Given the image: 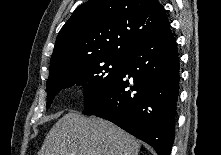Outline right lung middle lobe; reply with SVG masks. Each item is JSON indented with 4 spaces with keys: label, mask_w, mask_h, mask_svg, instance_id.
<instances>
[{
    "label": "right lung middle lobe",
    "mask_w": 221,
    "mask_h": 155,
    "mask_svg": "<svg viewBox=\"0 0 221 155\" xmlns=\"http://www.w3.org/2000/svg\"><path fill=\"white\" fill-rule=\"evenodd\" d=\"M126 57L112 56L100 59L82 60L49 75L47 81V108L55 95L62 89L74 85H84L86 89L84 105L101 94L117 77Z\"/></svg>",
    "instance_id": "obj_1"
}]
</instances>
